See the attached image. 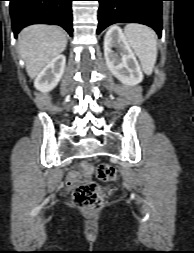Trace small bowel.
Wrapping results in <instances>:
<instances>
[{"mask_svg":"<svg viewBox=\"0 0 194 253\" xmlns=\"http://www.w3.org/2000/svg\"><path fill=\"white\" fill-rule=\"evenodd\" d=\"M79 178H80L79 171L76 168H74L68 173L66 183L68 186H73L79 181Z\"/></svg>","mask_w":194,"mask_h":253,"instance_id":"small-bowel-1","label":"small bowel"}]
</instances>
